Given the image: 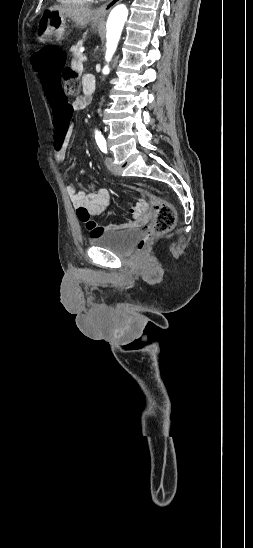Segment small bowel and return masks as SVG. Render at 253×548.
Segmentation results:
<instances>
[{"instance_id": "1", "label": "small bowel", "mask_w": 253, "mask_h": 548, "mask_svg": "<svg viewBox=\"0 0 253 548\" xmlns=\"http://www.w3.org/2000/svg\"><path fill=\"white\" fill-rule=\"evenodd\" d=\"M81 69V65L77 61H72L70 70L77 73ZM89 77L86 78V80ZM85 80V81H86ZM90 102V98L87 96H78L71 104L72 113L74 110L82 109L86 107ZM53 105H51L52 107ZM55 133L56 130H55ZM54 133V134H55ZM70 133H66L64 140L60 143L54 141V158L57 162H63L66 160V149L70 137ZM67 193L77 210V215L80 221H82L91 236H97L106 232L136 227L146 223L151 217V211L148 202L141 198L132 207L131 213L132 219L108 225H98L91 216H98L106 212V210L112 204V198L109 192L100 188L92 193H85L82 190H78L73 186H67Z\"/></svg>"}]
</instances>
